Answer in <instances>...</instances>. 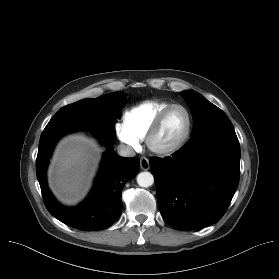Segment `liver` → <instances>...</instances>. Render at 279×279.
<instances>
[{
    "label": "liver",
    "instance_id": "6515ba94",
    "mask_svg": "<svg viewBox=\"0 0 279 279\" xmlns=\"http://www.w3.org/2000/svg\"><path fill=\"white\" fill-rule=\"evenodd\" d=\"M93 138L73 134L63 138L48 170L49 187L64 204L74 205L86 195L100 159Z\"/></svg>",
    "mask_w": 279,
    "mask_h": 279
}]
</instances>
